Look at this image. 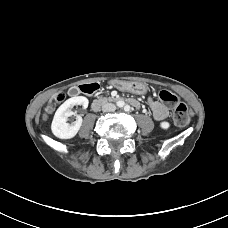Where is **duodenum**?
I'll list each match as a JSON object with an SVG mask.
<instances>
[{
	"label": "duodenum",
	"mask_w": 228,
	"mask_h": 228,
	"mask_svg": "<svg viewBox=\"0 0 228 228\" xmlns=\"http://www.w3.org/2000/svg\"><path fill=\"white\" fill-rule=\"evenodd\" d=\"M97 90V88H93L91 84H86L83 92H85L86 94H93L95 91ZM119 100L118 98H109V99H95L92 103V107L93 109H98L104 102L106 101H116ZM119 102V101H118Z\"/></svg>",
	"instance_id": "410a0bca"
}]
</instances>
